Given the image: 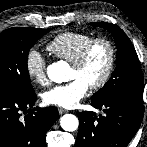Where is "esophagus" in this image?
<instances>
[{
	"mask_svg": "<svg viewBox=\"0 0 147 147\" xmlns=\"http://www.w3.org/2000/svg\"><path fill=\"white\" fill-rule=\"evenodd\" d=\"M58 111H59V114H61V115L67 112V110H65L63 108H59Z\"/></svg>",
	"mask_w": 147,
	"mask_h": 147,
	"instance_id": "1",
	"label": "esophagus"
}]
</instances>
